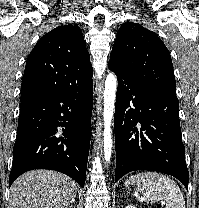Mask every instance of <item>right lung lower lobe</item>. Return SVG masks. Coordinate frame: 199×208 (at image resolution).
I'll return each instance as SVG.
<instances>
[{"label": "right lung lower lobe", "instance_id": "obj_1", "mask_svg": "<svg viewBox=\"0 0 199 208\" xmlns=\"http://www.w3.org/2000/svg\"><path fill=\"white\" fill-rule=\"evenodd\" d=\"M93 81L20 104L9 187L33 169L62 172L84 186L90 147Z\"/></svg>", "mask_w": 199, "mask_h": 208}]
</instances>
